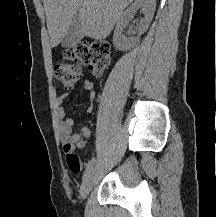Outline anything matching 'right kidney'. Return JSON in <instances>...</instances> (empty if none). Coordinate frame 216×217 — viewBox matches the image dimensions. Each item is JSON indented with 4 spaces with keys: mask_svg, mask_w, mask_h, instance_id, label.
Masks as SVG:
<instances>
[{
    "mask_svg": "<svg viewBox=\"0 0 216 217\" xmlns=\"http://www.w3.org/2000/svg\"><path fill=\"white\" fill-rule=\"evenodd\" d=\"M156 7V0H135L119 17L116 29L113 35V45L118 50H129L139 42V37L147 31L153 19ZM144 14L138 24V35L136 37L127 38L122 35V31L126 28L130 19L134 17L138 10Z\"/></svg>",
    "mask_w": 216,
    "mask_h": 217,
    "instance_id": "ca27d5eb",
    "label": "right kidney"
}]
</instances>
